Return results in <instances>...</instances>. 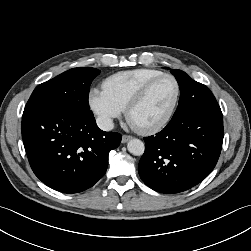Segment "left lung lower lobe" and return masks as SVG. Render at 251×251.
Wrapping results in <instances>:
<instances>
[{
	"instance_id": "obj_1",
	"label": "left lung lower lobe",
	"mask_w": 251,
	"mask_h": 251,
	"mask_svg": "<svg viewBox=\"0 0 251 251\" xmlns=\"http://www.w3.org/2000/svg\"><path fill=\"white\" fill-rule=\"evenodd\" d=\"M223 136L222 112L212 92L203 84L184 90L168 125L144 138L139 175L155 191H186L214 169Z\"/></svg>"
}]
</instances>
